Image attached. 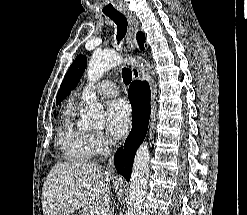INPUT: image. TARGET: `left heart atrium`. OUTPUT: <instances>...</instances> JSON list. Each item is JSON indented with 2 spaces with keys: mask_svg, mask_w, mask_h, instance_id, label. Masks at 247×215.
<instances>
[{
  "mask_svg": "<svg viewBox=\"0 0 247 215\" xmlns=\"http://www.w3.org/2000/svg\"><path fill=\"white\" fill-rule=\"evenodd\" d=\"M105 122L107 131L114 137L124 136L130 127V107L123 99L113 100L109 103Z\"/></svg>",
  "mask_w": 247,
  "mask_h": 215,
  "instance_id": "left-heart-atrium-1",
  "label": "left heart atrium"
}]
</instances>
